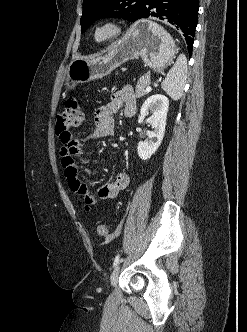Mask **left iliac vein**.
<instances>
[{
	"mask_svg": "<svg viewBox=\"0 0 247 332\" xmlns=\"http://www.w3.org/2000/svg\"><path fill=\"white\" fill-rule=\"evenodd\" d=\"M121 261H122V260H121ZM119 269H120V266L117 265V266L115 267V269L113 270L112 274H111L110 282H111V285H112V286H116V284H117L118 276H119Z\"/></svg>",
	"mask_w": 247,
	"mask_h": 332,
	"instance_id": "obj_1",
	"label": "left iliac vein"
}]
</instances>
